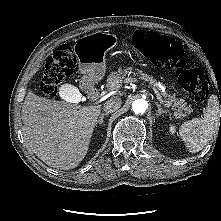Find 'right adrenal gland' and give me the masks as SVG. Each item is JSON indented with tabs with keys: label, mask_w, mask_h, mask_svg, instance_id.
<instances>
[{
	"label": "right adrenal gland",
	"mask_w": 221,
	"mask_h": 221,
	"mask_svg": "<svg viewBox=\"0 0 221 221\" xmlns=\"http://www.w3.org/2000/svg\"><path fill=\"white\" fill-rule=\"evenodd\" d=\"M109 113H102L101 116L99 117V119L96 121L95 126H97L98 124L101 125L103 124V120L105 116H108Z\"/></svg>",
	"instance_id": "obj_1"
}]
</instances>
